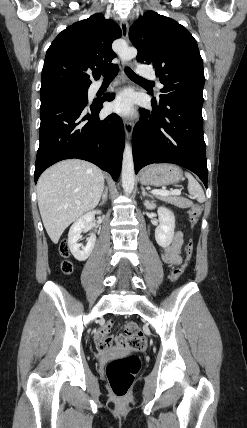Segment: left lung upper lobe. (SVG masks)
Returning a JSON list of instances; mask_svg holds the SVG:
<instances>
[{"label": "left lung upper lobe", "instance_id": "left-lung-upper-lobe-1", "mask_svg": "<svg viewBox=\"0 0 247 428\" xmlns=\"http://www.w3.org/2000/svg\"><path fill=\"white\" fill-rule=\"evenodd\" d=\"M137 61L153 66L164 87L160 98L183 95L203 101V60L190 32L176 21L147 11L130 28Z\"/></svg>", "mask_w": 247, "mask_h": 428}]
</instances>
